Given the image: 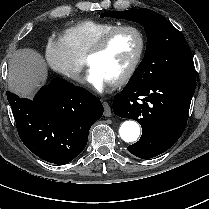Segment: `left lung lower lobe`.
I'll return each instance as SVG.
<instances>
[{
    "label": "left lung lower lobe",
    "instance_id": "obj_1",
    "mask_svg": "<svg viewBox=\"0 0 209 209\" xmlns=\"http://www.w3.org/2000/svg\"><path fill=\"white\" fill-rule=\"evenodd\" d=\"M195 87V67L148 82L129 80L113 101L117 116L134 119L142 127L140 140L127 150L150 159L173 146L186 127Z\"/></svg>",
    "mask_w": 209,
    "mask_h": 209
}]
</instances>
